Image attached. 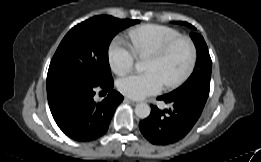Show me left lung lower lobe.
Segmentation results:
<instances>
[{"mask_svg": "<svg viewBox=\"0 0 261 162\" xmlns=\"http://www.w3.org/2000/svg\"><path fill=\"white\" fill-rule=\"evenodd\" d=\"M208 96L198 91H179L158 97L172 109L152 106L151 114L139 123L143 136L152 144L168 145L182 139L199 119Z\"/></svg>", "mask_w": 261, "mask_h": 162, "instance_id": "0a47b994", "label": "left lung lower lobe"}]
</instances>
